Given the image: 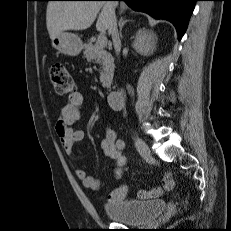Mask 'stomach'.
I'll use <instances>...</instances> for the list:
<instances>
[{"label":"stomach","instance_id":"1","mask_svg":"<svg viewBox=\"0 0 231 231\" xmlns=\"http://www.w3.org/2000/svg\"><path fill=\"white\" fill-rule=\"evenodd\" d=\"M52 46L60 53L69 56H77L81 52L83 45L80 37L69 32H61L52 39Z\"/></svg>","mask_w":231,"mask_h":231}]
</instances>
